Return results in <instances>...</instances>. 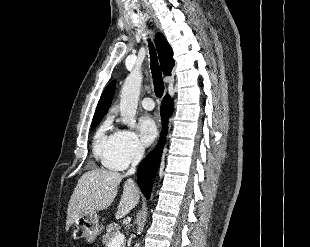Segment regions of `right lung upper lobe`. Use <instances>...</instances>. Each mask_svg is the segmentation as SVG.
I'll return each mask as SVG.
<instances>
[{"label": "right lung upper lobe", "mask_w": 310, "mask_h": 247, "mask_svg": "<svg viewBox=\"0 0 310 247\" xmlns=\"http://www.w3.org/2000/svg\"><path fill=\"white\" fill-rule=\"evenodd\" d=\"M155 44L158 51L162 71L165 75L170 76L171 70L174 66L172 48L161 33L156 34ZM114 91L115 82L113 81L103 91L101 98L98 102L93 120L98 117L104 116L107 113L113 98Z\"/></svg>", "instance_id": "1"}]
</instances>
